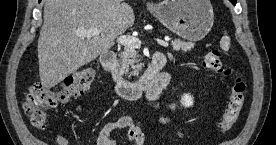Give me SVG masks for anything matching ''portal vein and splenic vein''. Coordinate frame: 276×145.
Returning a JSON list of instances; mask_svg holds the SVG:
<instances>
[{
  "label": "portal vein and splenic vein",
  "mask_w": 276,
  "mask_h": 145,
  "mask_svg": "<svg viewBox=\"0 0 276 145\" xmlns=\"http://www.w3.org/2000/svg\"><path fill=\"white\" fill-rule=\"evenodd\" d=\"M101 33V30L97 28L89 29V30H82V31H76V35L83 37V38H91L93 36L99 35ZM118 43L121 45H124L125 47L130 48H139L141 45V41L137 37L133 36H126L122 35L118 37L117 39ZM157 43L163 47H168L169 43L167 41L156 39Z\"/></svg>",
  "instance_id": "1"
}]
</instances>
